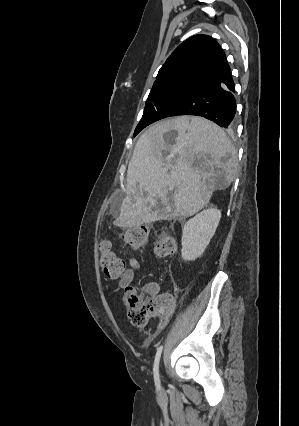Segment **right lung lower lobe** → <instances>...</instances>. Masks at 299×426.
Returning <instances> with one entry per match:
<instances>
[{
  "mask_svg": "<svg viewBox=\"0 0 299 426\" xmlns=\"http://www.w3.org/2000/svg\"><path fill=\"white\" fill-rule=\"evenodd\" d=\"M235 85L230 71L212 79L177 100L160 119L177 115L205 117L221 127H231L236 113Z\"/></svg>",
  "mask_w": 299,
  "mask_h": 426,
  "instance_id": "1",
  "label": "right lung lower lobe"
}]
</instances>
